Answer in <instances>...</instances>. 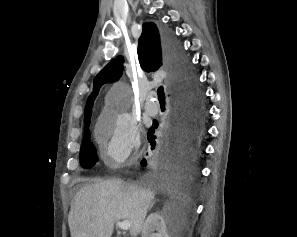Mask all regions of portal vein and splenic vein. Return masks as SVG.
Listing matches in <instances>:
<instances>
[{
  "mask_svg": "<svg viewBox=\"0 0 297 237\" xmlns=\"http://www.w3.org/2000/svg\"><path fill=\"white\" fill-rule=\"evenodd\" d=\"M117 226L122 230H129L130 229V222L127 220H124L122 222H117Z\"/></svg>",
  "mask_w": 297,
  "mask_h": 237,
  "instance_id": "portal-vein-and-splenic-vein-1",
  "label": "portal vein and splenic vein"
}]
</instances>
